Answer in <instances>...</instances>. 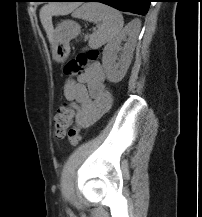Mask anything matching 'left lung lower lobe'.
<instances>
[{
	"mask_svg": "<svg viewBox=\"0 0 202 217\" xmlns=\"http://www.w3.org/2000/svg\"><path fill=\"white\" fill-rule=\"evenodd\" d=\"M58 2H101L118 10L145 15L152 0H52Z\"/></svg>",
	"mask_w": 202,
	"mask_h": 217,
	"instance_id": "1",
	"label": "left lung lower lobe"
}]
</instances>
